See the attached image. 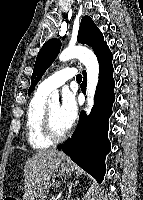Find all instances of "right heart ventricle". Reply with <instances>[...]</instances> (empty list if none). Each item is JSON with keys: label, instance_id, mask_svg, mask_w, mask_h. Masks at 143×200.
<instances>
[{"label": "right heart ventricle", "instance_id": "right-heart-ventricle-1", "mask_svg": "<svg viewBox=\"0 0 143 200\" xmlns=\"http://www.w3.org/2000/svg\"><path fill=\"white\" fill-rule=\"evenodd\" d=\"M47 96L48 93L38 88L27 109L25 122L26 137L29 145L36 150L47 149L52 145L41 132V122L46 107Z\"/></svg>", "mask_w": 143, "mask_h": 200}]
</instances>
